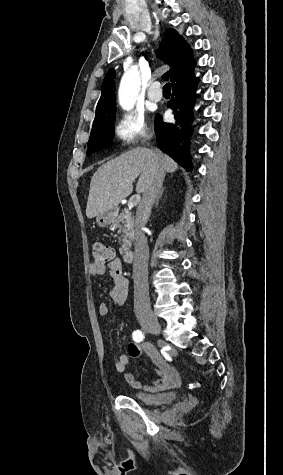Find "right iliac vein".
<instances>
[{
  "label": "right iliac vein",
  "instance_id": "1",
  "mask_svg": "<svg viewBox=\"0 0 283 475\" xmlns=\"http://www.w3.org/2000/svg\"><path fill=\"white\" fill-rule=\"evenodd\" d=\"M139 321L151 333H159L161 331V325L153 313L144 314Z\"/></svg>",
  "mask_w": 283,
  "mask_h": 475
}]
</instances>
